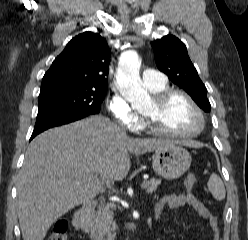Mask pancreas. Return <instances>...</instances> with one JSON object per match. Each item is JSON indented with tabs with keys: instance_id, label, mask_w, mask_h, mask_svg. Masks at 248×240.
<instances>
[{
	"instance_id": "1",
	"label": "pancreas",
	"mask_w": 248,
	"mask_h": 240,
	"mask_svg": "<svg viewBox=\"0 0 248 240\" xmlns=\"http://www.w3.org/2000/svg\"><path fill=\"white\" fill-rule=\"evenodd\" d=\"M161 183L160 179L152 178L149 181H144V186L148 194H152L157 186ZM112 204H106L100 206L99 209L92 215V227L90 229V235L95 240H111V230L116 227L113 221V209Z\"/></svg>"
}]
</instances>
